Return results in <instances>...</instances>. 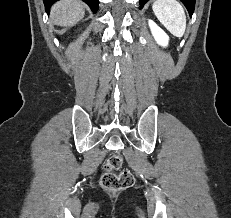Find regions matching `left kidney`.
I'll use <instances>...</instances> for the list:
<instances>
[{
  "label": "left kidney",
  "mask_w": 231,
  "mask_h": 218,
  "mask_svg": "<svg viewBox=\"0 0 231 218\" xmlns=\"http://www.w3.org/2000/svg\"><path fill=\"white\" fill-rule=\"evenodd\" d=\"M149 27L156 42L161 46H167L169 41L168 35L152 20H149Z\"/></svg>",
  "instance_id": "left-kidney-1"
}]
</instances>
